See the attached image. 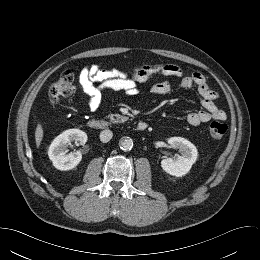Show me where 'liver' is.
<instances>
[{
  "instance_id": "1",
  "label": "liver",
  "mask_w": 260,
  "mask_h": 260,
  "mask_svg": "<svg viewBox=\"0 0 260 260\" xmlns=\"http://www.w3.org/2000/svg\"><path fill=\"white\" fill-rule=\"evenodd\" d=\"M43 135H44L43 128H42L41 124H38L36 127V131H35V141H36L37 147L40 146V143L43 139Z\"/></svg>"
}]
</instances>
